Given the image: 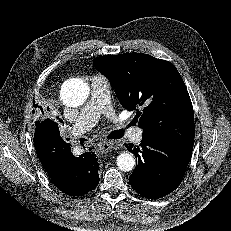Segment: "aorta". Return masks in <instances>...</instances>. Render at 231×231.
<instances>
[{
	"mask_svg": "<svg viewBox=\"0 0 231 231\" xmlns=\"http://www.w3.org/2000/svg\"><path fill=\"white\" fill-rule=\"evenodd\" d=\"M89 95L87 84L78 78H72L65 81L61 87L60 98L63 103L69 107H78L82 105ZM117 166L121 171H132L136 165L133 154L129 152L121 153L117 157Z\"/></svg>",
	"mask_w": 231,
	"mask_h": 231,
	"instance_id": "aorta-1",
	"label": "aorta"
}]
</instances>
